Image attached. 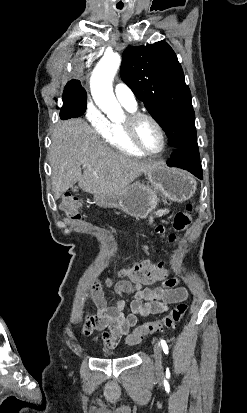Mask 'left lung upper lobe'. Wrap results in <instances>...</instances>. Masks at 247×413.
<instances>
[{"label": "left lung upper lobe", "instance_id": "1", "mask_svg": "<svg viewBox=\"0 0 247 413\" xmlns=\"http://www.w3.org/2000/svg\"><path fill=\"white\" fill-rule=\"evenodd\" d=\"M120 74L164 129L173 149L197 145L191 92L182 67L166 42L127 48Z\"/></svg>", "mask_w": 247, "mask_h": 413}]
</instances>
